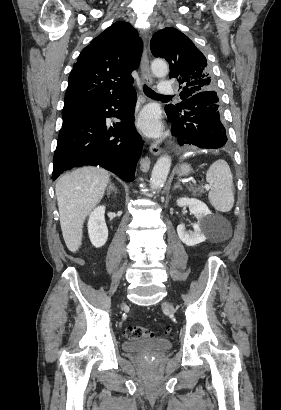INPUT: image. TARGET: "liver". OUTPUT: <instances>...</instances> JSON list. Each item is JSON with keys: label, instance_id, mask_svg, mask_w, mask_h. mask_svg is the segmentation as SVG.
Returning <instances> with one entry per match:
<instances>
[{"label": "liver", "instance_id": "liver-1", "mask_svg": "<svg viewBox=\"0 0 281 410\" xmlns=\"http://www.w3.org/2000/svg\"><path fill=\"white\" fill-rule=\"evenodd\" d=\"M109 181L108 171L87 166L63 175L56 182L61 230L71 252L80 248L84 220L103 198Z\"/></svg>", "mask_w": 281, "mask_h": 410}]
</instances>
